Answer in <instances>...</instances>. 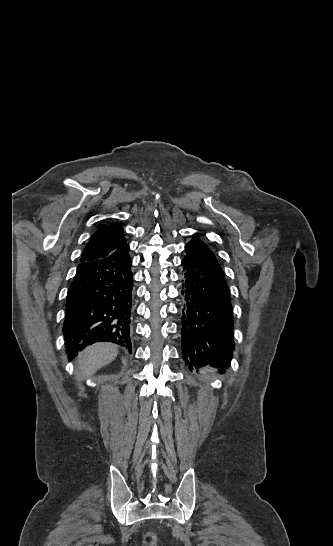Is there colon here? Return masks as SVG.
Returning <instances> with one entry per match:
<instances>
[{
	"label": "colon",
	"instance_id": "1",
	"mask_svg": "<svg viewBox=\"0 0 333 546\" xmlns=\"http://www.w3.org/2000/svg\"><path fill=\"white\" fill-rule=\"evenodd\" d=\"M146 543H147L148 545L153 544V538H152V536H147V537H146Z\"/></svg>",
	"mask_w": 333,
	"mask_h": 546
}]
</instances>
